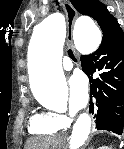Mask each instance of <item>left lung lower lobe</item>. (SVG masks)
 <instances>
[{"label": "left lung lower lobe", "instance_id": "left-lung-lower-lobe-1", "mask_svg": "<svg viewBox=\"0 0 124 149\" xmlns=\"http://www.w3.org/2000/svg\"><path fill=\"white\" fill-rule=\"evenodd\" d=\"M82 70L90 79V112L96 129L121 135L124 127V38L100 46L81 57ZM100 71L98 77L93 74Z\"/></svg>", "mask_w": 124, "mask_h": 149}]
</instances>
